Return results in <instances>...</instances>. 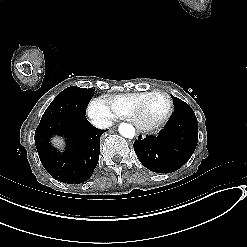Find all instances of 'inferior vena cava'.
<instances>
[{
	"label": "inferior vena cava",
	"instance_id": "obj_1",
	"mask_svg": "<svg viewBox=\"0 0 247 247\" xmlns=\"http://www.w3.org/2000/svg\"><path fill=\"white\" fill-rule=\"evenodd\" d=\"M93 125L98 129H107L112 126V122L107 119H97L94 121Z\"/></svg>",
	"mask_w": 247,
	"mask_h": 247
}]
</instances>
